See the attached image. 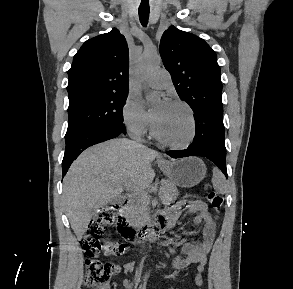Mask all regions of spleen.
<instances>
[{
    "mask_svg": "<svg viewBox=\"0 0 293 289\" xmlns=\"http://www.w3.org/2000/svg\"><path fill=\"white\" fill-rule=\"evenodd\" d=\"M212 184L214 189L220 194L226 193L227 187L225 178L217 168H213Z\"/></svg>",
    "mask_w": 293,
    "mask_h": 289,
    "instance_id": "spleen-1",
    "label": "spleen"
}]
</instances>
